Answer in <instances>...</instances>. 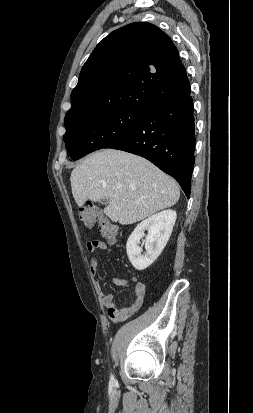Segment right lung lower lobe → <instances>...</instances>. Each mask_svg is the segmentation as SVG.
<instances>
[{"mask_svg": "<svg viewBox=\"0 0 253 413\" xmlns=\"http://www.w3.org/2000/svg\"><path fill=\"white\" fill-rule=\"evenodd\" d=\"M106 148L142 156L174 177L189 197L194 168L195 120L190 86L148 107L138 125Z\"/></svg>", "mask_w": 253, "mask_h": 413, "instance_id": "obj_1", "label": "right lung lower lobe"}]
</instances>
